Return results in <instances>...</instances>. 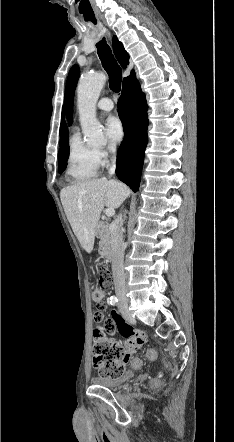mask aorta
I'll list each match as a JSON object with an SVG mask.
<instances>
[{"instance_id":"aorta-1","label":"aorta","mask_w":234,"mask_h":442,"mask_svg":"<svg viewBox=\"0 0 234 442\" xmlns=\"http://www.w3.org/2000/svg\"><path fill=\"white\" fill-rule=\"evenodd\" d=\"M106 82L103 73L86 74L80 79L77 89V104L80 123L87 142L103 144L105 137L102 126L96 119V103Z\"/></svg>"}]
</instances>
